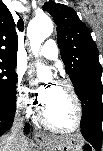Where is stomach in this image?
I'll use <instances>...</instances> for the list:
<instances>
[{"instance_id":"obj_1","label":"stomach","mask_w":103,"mask_h":151,"mask_svg":"<svg viewBox=\"0 0 103 151\" xmlns=\"http://www.w3.org/2000/svg\"><path fill=\"white\" fill-rule=\"evenodd\" d=\"M41 145L47 151H84L86 144L80 136H56L46 139Z\"/></svg>"}]
</instances>
